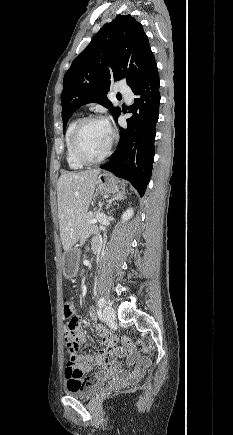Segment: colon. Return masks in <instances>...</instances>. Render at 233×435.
<instances>
[{"label": "colon", "mask_w": 233, "mask_h": 435, "mask_svg": "<svg viewBox=\"0 0 233 435\" xmlns=\"http://www.w3.org/2000/svg\"><path fill=\"white\" fill-rule=\"evenodd\" d=\"M63 313L66 318H70L69 322L64 326V340H65V357L68 365L74 366L78 372L79 381L74 384L75 388H86L88 385L92 384V380L84 378L85 370L78 365L77 352H78V339L79 332L77 328L78 317L75 315L71 303L65 299L63 306ZM125 345H130L129 340H124ZM136 349L143 351L145 346L141 342L135 344ZM117 347V339L109 336L108 342L105 344V352L110 353L114 351Z\"/></svg>", "instance_id": "colon-1"}]
</instances>
